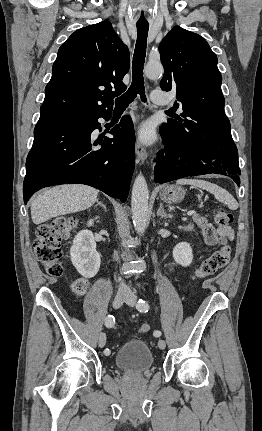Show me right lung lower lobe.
I'll return each mask as SVG.
<instances>
[{
  "instance_id": "obj_1",
  "label": "right lung lower lobe",
  "mask_w": 262,
  "mask_h": 431,
  "mask_svg": "<svg viewBox=\"0 0 262 431\" xmlns=\"http://www.w3.org/2000/svg\"><path fill=\"white\" fill-rule=\"evenodd\" d=\"M98 116L40 117L26 161L24 202L38 190L65 183L87 184L124 202L135 164L132 120L124 116L111 129L114 138L94 139ZM101 145V148L95 147Z\"/></svg>"
}]
</instances>
